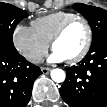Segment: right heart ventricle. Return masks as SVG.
<instances>
[{"label": "right heart ventricle", "mask_w": 107, "mask_h": 107, "mask_svg": "<svg viewBox=\"0 0 107 107\" xmlns=\"http://www.w3.org/2000/svg\"><path fill=\"white\" fill-rule=\"evenodd\" d=\"M77 16L68 11H58L32 21L35 33L46 43H50L57 29L69 18Z\"/></svg>", "instance_id": "right-heart-ventricle-1"}]
</instances>
